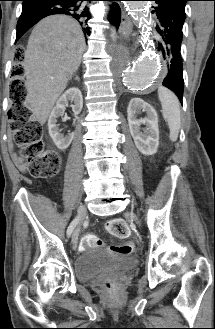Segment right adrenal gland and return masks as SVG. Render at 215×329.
I'll use <instances>...</instances> for the list:
<instances>
[{
	"label": "right adrenal gland",
	"mask_w": 215,
	"mask_h": 329,
	"mask_svg": "<svg viewBox=\"0 0 215 329\" xmlns=\"http://www.w3.org/2000/svg\"><path fill=\"white\" fill-rule=\"evenodd\" d=\"M75 80H77V81H80V79H79V77H78V76H76V77H75Z\"/></svg>",
	"instance_id": "obj_1"
}]
</instances>
